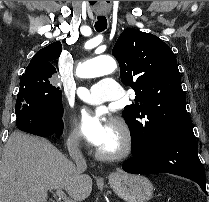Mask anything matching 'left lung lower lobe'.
<instances>
[{"label": "left lung lower lobe", "instance_id": "obj_1", "mask_svg": "<svg viewBox=\"0 0 209 202\" xmlns=\"http://www.w3.org/2000/svg\"><path fill=\"white\" fill-rule=\"evenodd\" d=\"M132 158L123 170L132 174L171 173L188 178L206 191V177L198 157V146L193 129L166 137L157 145L132 143Z\"/></svg>", "mask_w": 209, "mask_h": 202}]
</instances>
